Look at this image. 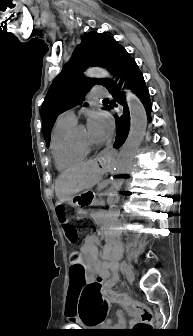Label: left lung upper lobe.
I'll use <instances>...</instances> for the list:
<instances>
[{
	"label": "left lung upper lobe",
	"instance_id": "left-lung-upper-lobe-1",
	"mask_svg": "<svg viewBox=\"0 0 193 336\" xmlns=\"http://www.w3.org/2000/svg\"><path fill=\"white\" fill-rule=\"evenodd\" d=\"M123 49L106 33L91 32L82 38L81 44L54 79L42 104L43 135L47 145L58 115L83 101L93 85L100 84L107 88L111 83L106 79L83 78L82 71L89 66H102L115 74L118 56Z\"/></svg>",
	"mask_w": 193,
	"mask_h": 336
}]
</instances>
